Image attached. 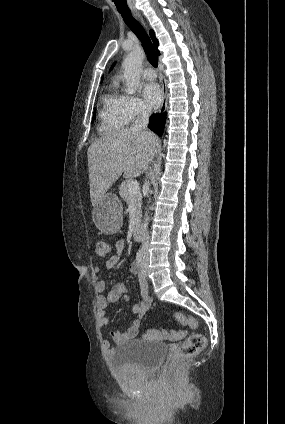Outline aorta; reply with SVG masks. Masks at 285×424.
Segmentation results:
<instances>
[{
	"instance_id": "aorta-1",
	"label": "aorta",
	"mask_w": 285,
	"mask_h": 424,
	"mask_svg": "<svg viewBox=\"0 0 285 424\" xmlns=\"http://www.w3.org/2000/svg\"><path fill=\"white\" fill-rule=\"evenodd\" d=\"M145 54L141 48H136L128 54L123 61L124 79L126 81V93L134 94L140 88V73ZM149 215L146 212L142 225V241H145V236L148 229Z\"/></svg>"
}]
</instances>
